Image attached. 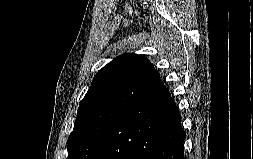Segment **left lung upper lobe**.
I'll list each match as a JSON object with an SVG mask.
<instances>
[{"instance_id":"left-lung-upper-lobe-1","label":"left lung upper lobe","mask_w":253,"mask_h":159,"mask_svg":"<svg viewBox=\"0 0 253 159\" xmlns=\"http://www.w3.org/2000/svg\"><path fill=\"white\" fill-rule=\"evenodd\" d=\"M159 77L148 59L133 53L100 69L79 105L67 159H92L119 113Z\"/></svg>"}]
</instances>
